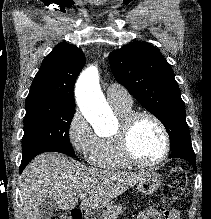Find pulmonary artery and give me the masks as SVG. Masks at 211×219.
I'll use <instances>...</instances> for the list:
<instances>
[{
	"label": "pulmonary artery",
	"instance_id": "pulmonary-artery-1",
	"mask_svg": "<svg viewBox=\"0 0 211 219\" xmlns=\"http://www.w3.org/2000/svg\"><path fill=\"white\" fill-rule=\"evenodd\" d=\"M106 97L111 106H130L132 97L125 88L118 84H110L106 89Z\"/></svg>",
	"mask_w": 211,
	"mask_h": 219
}]
</instances>
